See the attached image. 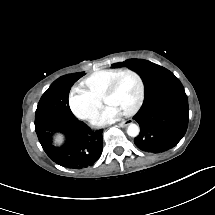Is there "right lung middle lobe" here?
Returning <instances> with one entry per match:
<instances>
[{
    "instance_id": "right-lung-middle-lobe-1",
    "label": "right lung middle lobe",
    "mask_w": 215,
    "mask_h": 215,
    "mask_svg": "<svg viewBox=\"0 0 215 215\" xmlns=\"http://www.w3.org/2000/svg\"><path fill=\"white\" fill-rule=\"evenodd\" d=\"M82 76L83 74L69 75L53 83L38 103L35 123L56 119L76 120L69 108L68 95L72 85Z\"/></svg>"
}]
</instances>
